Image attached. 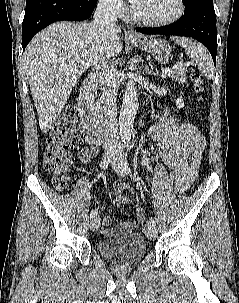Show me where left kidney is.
Instances as JSON below:
<instances>
[{
	"mask_svg": "<svg viewBox=\"0 0 239 303\" xmlns=\"http://www.w3.org/2000/svg\"><path fill=\"white\" fill-rule=\"evenodd\" d=\"M176 106L180 109V108H183L184 107V101H183V99H181V98H178L177 100H176Z\"/></svg>",
	"mask_w": 239,
	"mask_h": 303,
	"instance_id": "obj_1",
	"label": "left kidney"
}]
</instances>
